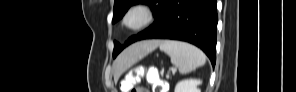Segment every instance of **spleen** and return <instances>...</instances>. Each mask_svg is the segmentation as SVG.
<instances>
[{
  "instance_id": "spleen-1",
  "label": "spleen",
  "mask_w": 296,
  "mask_h": 92,
  "mask_svg": "<svg viewBox=\"0 0 296 92\" xmlns=\"http://www.w3.org/2000/svg\"><path fill=\"white\" fill-rule=\"evenodd\" d=\"M159 48L169 55L171 63L181 74L189 73L206 62L205 54L189 43L165 40L160 42Z\"/></svg>"
}]
</instances>
